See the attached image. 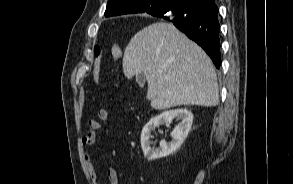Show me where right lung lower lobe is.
<instances>
[{
    "label": "right lung lower lobe",
    "instance_id": "98d812e1",
    "mask_svg": "<svg viewBox=\"0 0 293 184\" xmlns=\"http://www.w3.org/2000/svg\"><path fill=\"white\" fill-rule=\"evenodd\" d=\"M156 17L172 22L200 45L210 56L216 68H220V24L218 8L214 2L200 6L198 2L182 0Z\"/></svg>",
    "mask_w": 293,
    "mask_h": 184
}]
</instances>
